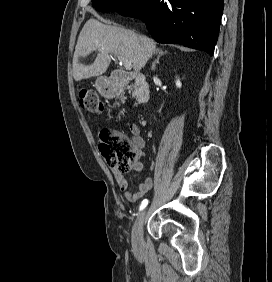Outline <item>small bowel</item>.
<instances>
[{
    "mask_svg": "<svg viewBox=\"0 0 272 282\" xmlns=\"http://www.w3.org/2000/svg\"><path fill=\"white\" fill-rule=\"evenodd\" d=\"M130 130L133 133L132 136V144L134 148L137 150H141L145 145L144 137L141 135L139 129L135 125H130ZM132 168L138 172L139 174H142L143 171V165L140 161H136ZM112 174L115 178V181L120 189V191L123 193L125 198L130 202H137L139 199H141L148 191L151 190L153 186V181L150 177L146 176L142 179V181L139 183L137 190L133 192L130 189V186L124 176L123 173H120L114 168H111Z\"/></svg>",
    "mask_w": 272,
    "mask_h": 282,
    "instance_id": "small-bowel-1",
    "label": "small bowel"
}]
</instances>
